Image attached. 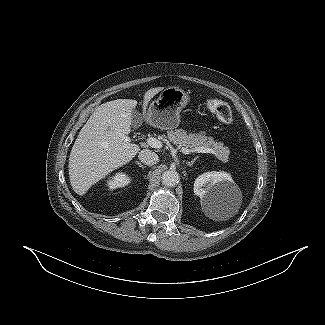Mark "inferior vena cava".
<instances>
[{
  "label": "inferior vena cava",
  "mask_w": 325,
  "mask_h": 325,
  "mask_svg": "<svg viewBox=\"0 0 325 325\" xmlns=\"http://www.w3.org/2000/svg\"><path fill=\"white\" fill-rule=\"evenodd\" d=\"M138 158L142 163L148 166H152L159 161L158 155L155 152L148 149L141 150L139 152Z\"/></svg>",
  "instance_id": "inferior-vena-cava-1"
}]
</instances>
